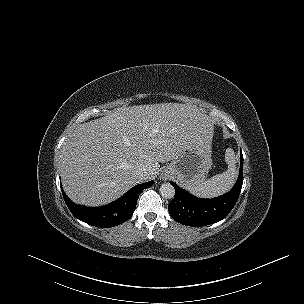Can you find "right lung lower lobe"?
I'll use <instances>...</instances> for the list:
<instances>
[{
	"instance_id": "1",
	"label": "right lung lower lobe",
	"mask_w": 304,
	"mask_h": 304,
	"mask_svg": "<svg viewBox=\"0 0 304 304\" xmlns=\"http://www.w3.org/2000/svg\"><path fill=\"white\" fill-rule=\"evenodd\" d=\"M152 185L153 181L136 185L118 200L96 208L76 205L66 196L63 189L62 194L69 210L76 218L92 226L107 228L128 220L135 210L141 192Z\"/></svg>"
}]
</instances>
